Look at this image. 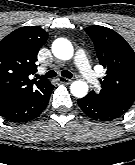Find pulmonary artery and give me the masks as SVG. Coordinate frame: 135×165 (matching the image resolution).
Listing matches in <instances>:
<instances>
[{"instance_id":"1","label":"pulmonary artery","mask_w":135,"mask_h":165,"mask_svg":"<svg viewBox=\"0 0 135 165\" xmlns=\"http://www.w3.org/2000/svg\"><path fill=\"white\" fill-rule=\"evenodd\" d=\"M73 63L85 81L91 84L96 82V77L90 68V65H89V62L84 50L78 49L76 51L73 58Z\"/></svg>"}]
</instances>
